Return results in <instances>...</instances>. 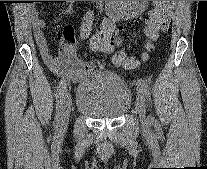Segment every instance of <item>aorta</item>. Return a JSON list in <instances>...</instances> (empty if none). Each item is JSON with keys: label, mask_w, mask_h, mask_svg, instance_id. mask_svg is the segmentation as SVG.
I'll return each mask as SVG.
<instances>
[{"label": "aorta", "mask_w": 207, "mask_h": 169, "mask_svg": "<svg viewBox=\"0 0 207 169\" xmlns=\"http://www.w3.org/2000/svg\"><path fill=\"white\" fill-rule=\"evenodd\" d=\"M133 1H109L110 10L118 14H126L131 10Z\"/></svg>", "instance_id": "1"}]
</instances>
